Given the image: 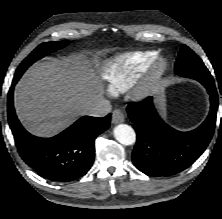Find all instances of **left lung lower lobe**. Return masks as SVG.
Segmentation results:
<instances>
[{
	"label": "left lung lower lobe",
	"mask_w": 222,
	"mask_h": 219,
	"mask_svg": "<svg viewBox=\"0 0 222 219\" xmlns=\"http://www.w3.org/2000/svg\"><path fill=\"white\" fill-rule=\"evenodd\" d=\"M210 95V113L195 130L180 132L167 125L158 115L149 97L130 103L127 112L137 134L132 162L149 176H170L192 165L204 152L215 129L218 94L214 81L201 80Z\"/></svg>",
	"instance_id": "1"
}]
</instances>
